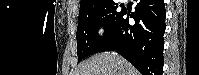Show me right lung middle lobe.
Returning a JSON list of instances; mask_svg holds the SVG:
<instances>
[{"label":"right lung middle lobe","instance_id":"right-lung-middle-lobe-1","mask_svg":"<svg viewBox=\"0 0 199 75\" xmlns=\"http://www.w3.org/2000/svg\"><path fill=\"white\" fill-rule=\"evenodd\" d=\"M117 3L110 1L86 13L79 14L77 38L78 61L88 55L96 53L108 40L123 10L117 11ZM104 27L103 37H99L97 30Z\"/></svg>","mask_w":199,"mask_h":75}]
</instances>
